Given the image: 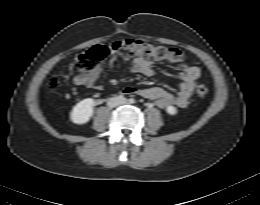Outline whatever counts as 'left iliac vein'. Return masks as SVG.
Masks as SVG:
<instances>
[{
	"mask_svg": "<svg viewBox=\"0 0 260 205\" xmlns=\"http://www.w3.org/2000/svg\"><path fill=\"white\" fill-rule=\"evenodd\" d=\"M118 103H119L120 105H123V104H128L129 101H128L127 99H123V100H120Z\"/></svg>",
	"mask_w": 260,
	"mask_h": 205,
	"instance_id": "4c4485c4",
	"label": "left iliac vein"
}]
</instances>
